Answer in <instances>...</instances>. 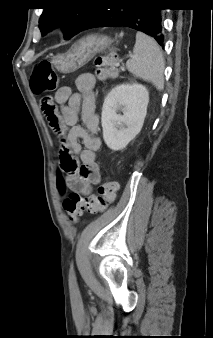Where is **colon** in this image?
<instances>
[{"instance_id": "obj_1", "label": "colon", "mask_w": 213, "mask_h": 338, "mask_svg": "<svg viewBox=\"0 0 213 338\" xmlns=\"http://www.w3.org/2000/svg\"><path fill=\"white\" fill-rule=\"evenodd\" d=\"M117 51L114 48H106L104 52L95 59L96 74L99 79H105L115 75ZM30 86L33 93L41 95L54 92L58 89L59 79L50 62L42 61L35 65L33 74L30 77ZM42 111L45 113L49 124L54 129L59 141H63L64 132L60 128L59 120L55 115V108L48 102H43ZM62 158L61 167L67 172L78 169V162L72 157L68 148L62 146L59 149ZM118 191V184L115 181L106 180L101 183L95 194L81 196L77 193H70L64 198L63 207L68 219L71 222H78L84 212L90 214L103 213L107 205L114 201Z\"/></svg>"}]
</instances>
